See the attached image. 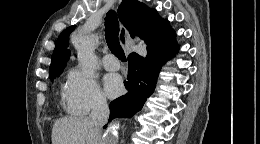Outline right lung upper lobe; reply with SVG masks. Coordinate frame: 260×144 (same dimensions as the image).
I'll use <instances>...</instances> for the list:
<instances>
[{
	"label": "right lung upper lobe",
	"mask_w": 260,
	"mask_h": 144,
	"mask_svg": "<svg viewBox=\"0 0 260 144\" xmlns=\"http://www.w3.org/2000/svg\"><path fill=\"white\" fill-rule=\"evenodd\" d=\"M118 16L131 37L138 36L144 39L147 49L175 35L167 20L162 21L155 9L149 10L145 4L137 0H123L118 8ZM74 29L75 25L70 26L58 37L49 74L64 69L70 57L68 37Z\"/></svg>",
	"instance_id": "right-lung-upper-lobe-1"
}]
</instances>
